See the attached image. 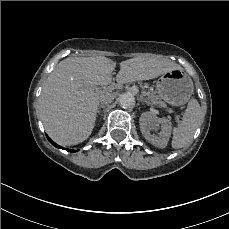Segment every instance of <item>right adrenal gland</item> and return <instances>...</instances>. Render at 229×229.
<instances>
[{"label": "right adrenal gland", "instance_id": "2a0ac1e0", "mask_svg": "<svg viewBox=\"0 0 229 229\" xmlns=\"http://www.w3.org/2000/svg\"><path fill=\"white\" fill-rule=\"evenodd\" d=\"M101 109H104V110H105V105L99 106V107H98V110H97V113H96V121H97V119H98V115H99L100 112H101Z\"/></svg>", "mask_w": 229, "mask_h": 229}]
</instances>
